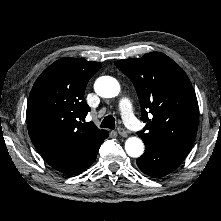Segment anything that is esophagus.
I'll return each mask as SVG.
<instances>
[{"label":"esophagus","instance_id":"34e87169","mask_svg":"<svg viewBox=\"0 0 221 221\" xmlns=\"http://www.w3.org/2000/svg\"><path fill=\"white\" fill-rule=\"evenodd\" d=\"M117 132H118V134L120 135V136H122V137H127V132L125 131V129H123V128H121V127H119L118 129H117Z\"/></svg>","mask_w":221,"mask_h":221}]
</instances>
